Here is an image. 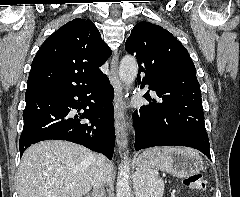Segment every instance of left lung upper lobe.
<instances>
[{
    "label": "left lung upper lobe",
    "mask_w": 240,
    "mask_h": 197,
    "mask_svg": "<svg viewBox=\"0 0 240 197\" xmlns=\"http://www.w3.org/2000/svg\"><path fill=\"white\" fill-rule=\"evenodd\" d=\"M125 49L135 54L139 72L158 96L195 89L200 92L196 68L186 48L166 29L140 22L131 31Z\"/></svg>",
    "instance_id": "5c2ea615"
}]
</instances>
